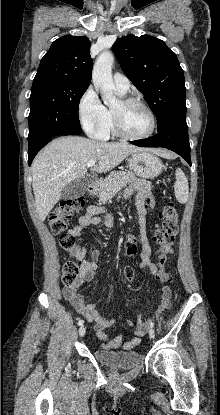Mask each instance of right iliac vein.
<instances>
[{
  "label": "right iliac vein",
  "mask_w": 220,
  "mask_h": 415,
  "mask_svg": "<svg viewBox=\"0 0 220 415\" xmlns=\"http://www.w3.org/2000/svg\"><path fill=\"white\" fill-rule=\"evenodd\" d=\"M85 332H86V328L84 326H81L79 328V335L82 337L85 335Z\"/></svg>",
  "instance_id": "right-iliac-vein-1"
}]
</instances>
